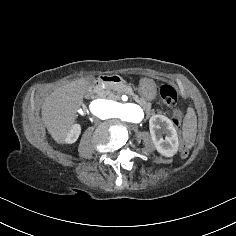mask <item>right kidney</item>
Listing matches in <instances>:
<instances>
[{
	"instance_id": "right-kidney-1",
	"label": "right kidney",
	"mask_w": 236,
	"mask_h": 236,
	"mask_svg": "<svg viewBox=\"0 0 236 236\" xmlns=\"http://www.w3.org/2000/svg\"><path fill=\"white\" fill-rule=\"evenodd\" d=\"M79 133L80 127L78 125L74 126L73 129L69 132L66 141L68 143H74L77 140Z\"/></svg>"
}]
</instances>
